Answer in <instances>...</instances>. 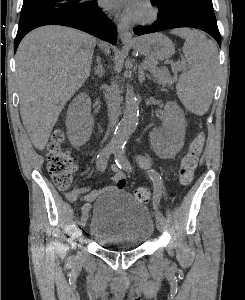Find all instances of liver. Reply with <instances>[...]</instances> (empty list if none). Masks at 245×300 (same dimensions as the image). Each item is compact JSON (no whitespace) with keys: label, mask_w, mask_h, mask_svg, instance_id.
<instances>
[{"label":"liver","mask_w":245,"mask_h":300,"mask_svg":"<svg viewBox=\"0 0 245 300\" xmlns=\"http://www.w3.org/2000/svg\"><path fill=\"white\" fill-rule=\"evenodd\" d=\"M97 40L57 25L27 34L16 52V81L23 125L38 150L48 143L57 119L90 75ZM106 54L110 47L100 42Z\"/></svg>","instance_id":"6515ba94"}]
</instances>
